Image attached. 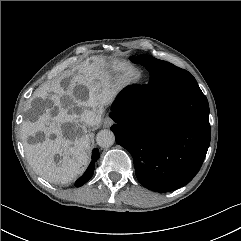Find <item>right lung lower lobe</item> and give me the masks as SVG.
I'll list each match as a JSON object with an SVG mask.
<instances>
[{
  "instance_id": "right-lung-lower-lobe-1",
  "label": "right lung lower lobe",
  "mask_w": 241,
  "mask_h": 241,
  "mask_svg": "<svg viewBox=\"0 0 241 241\" xmlns=\"http://www.w3.org/2000/svg\"><path fill=\"white\" fill-rule=\"evenodd\" d=\"M100 154L98 149H94L92 152V162L90 163L88 169L85 171V173L77 180L76 182V187L82 186L84 183H86L94 173V167H95V162L98 160Z\"/></svg>"
}]
</instances>
